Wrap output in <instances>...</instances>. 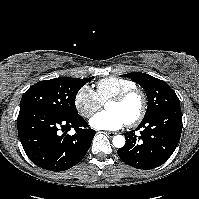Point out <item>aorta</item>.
<instances>
[{"label": "aorta", "mask_w": 199, "mask_h": 199, "mask_svg": "<svg viewBox=\"0 0 199 199\" xmlns=\"http://www.w3.org/2000/svg\"><path fill=\"white\" fill-rule=\"evenodd\" d=\"M112 143L116 148H122L125 145V137L116 135L113 137Z\"/></svg>", "instance_id": "1"}]
</instances>
